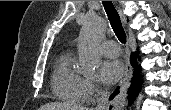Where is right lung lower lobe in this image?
Wrapping results in <instances>:
<instances>
[{
	"label": "right lung lower lobe",
	"instance_id": "obj_1",
	"mask_svg": "<svg viewBox=\"0 0 171 110\" xmlns=\"http://www.w3.org/2000/svg\"><path fill=\"white\" fill-rule=\"evenodd\" d=\"M137 56H138V52H135L131 54V58H130L131 64L134 67V74L131 80V86L129 87L127 92L129 98V105H131L135 100L142 85L140 69H139L140 66H137ZM138 59H140V57H138ZM118 93H119V87H117L116 90L112 93L110 99L114 98Z\"/></svg>",
	"mask_w": 171,
	"mask_h": 110
}]
</instances>
